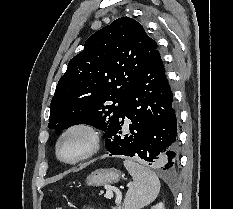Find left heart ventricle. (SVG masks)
<instances>
[{
	"instance_id": "1",
	"label": "left heart ventricle",
	"mask_w": 233,
	"mask_h": 209,
	"mask_svg": "<svg viewBox=\"0 0 233 209\" xmlns=\"http://www.w3.org/2000/svg\"><path fill=\"white\" fill-rule=\"evenodd\" d=\"M88 138L81 132H74L64 138L60 145V155L65 159H73L86 150Z\"/></svg>"
}]
</instances>
